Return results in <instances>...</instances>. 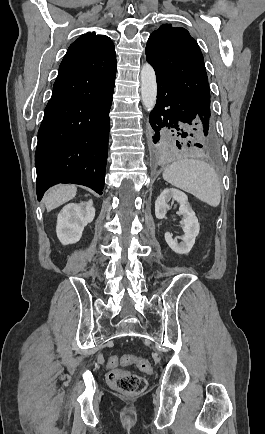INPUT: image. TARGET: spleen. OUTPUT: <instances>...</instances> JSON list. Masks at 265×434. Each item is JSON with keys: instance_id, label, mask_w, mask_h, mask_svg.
Masks as SVG:
<instances>
[{"instance_id": "spleen-1", "label": "spleen", "mask_w": 265, "mask_h": 434, "mask_svg": "<svg viewBox=\"0 0 265 434\" xmlns=\"http://www.w3.org/2000/svg\"><path fill=\"white\" fill-rule=\"evenodd\" d=\"M163 178L172 186L193 194L195 198L217 208L221 200L218 176L207 162L185 158L167 166Z\"/></svg>"}]
</instances>
